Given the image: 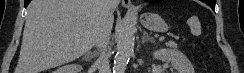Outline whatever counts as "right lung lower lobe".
<instances>
[{"instance_id": "right-lung-lower-lobe-1", "label": "right lung lower lobe", "mask_w": 244, "mask_h": 73, "mask_svg": "<svg viewBox=\"0 0 244 73\" xmlns=\"http://www.w3.org/2000/svg\"><path fill=\"white\" fill-rule=\"evenodd\" d=\"M30 1L31 0H25V3H24L25 7H27V5L30 3Z\"/></svg>"}]
</instances>
